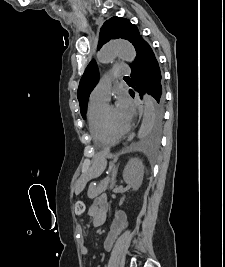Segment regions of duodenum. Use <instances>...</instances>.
<instances>
[{"label": "duodenum", "mask_w": 225, "mask_h": 267, "mask_svg": "<svg viewBox=\"0 0 225 267\" xmlns=\"http://www.w3.org/2000/svg\"><path fill=\"white\" fill-rule=\"evenodd\" d=\"M105 215L100 213L94 220V225L99 226L104 223Z\"/></svg>", "instance_id": "obj_1"}]
</instances>
